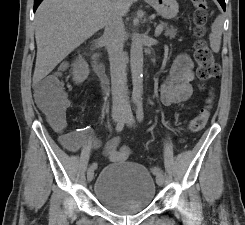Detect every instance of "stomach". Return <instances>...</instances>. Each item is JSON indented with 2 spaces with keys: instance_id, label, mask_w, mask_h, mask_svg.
Returning a JSON list of instances; mask_svg holds the SVG:
<instances>
[{
  "instance_id": "stomach-1",
  "label": "stomach",
  "mask_w": 245,
  "mask_h": 225,
  "mask_svg": "<svg viewBox=\"0 0 245 225\" xmlns=\"http://www.w3.org/2000/svg\"><path fill=\"white\" fill-rule=\"evenodd\" d=\"M151 5L158 15L165 19H172L176 17L179 11V5L176 0H145Z\"/></svg>"
}]
</instances>
